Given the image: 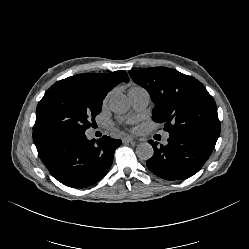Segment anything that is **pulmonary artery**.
Segmentation results:
<instances>
[{"label":"pulmonary artery","mask_w":249,"mask_h":249,"mask_svg":"<svg viewBox=\"0 0 249 249\" xmlns=\"http://www.w3.org/2000/svg\"><path fill=\"white\" fill-rule=\"evenodd\" d=\"M129 97L132 103V106L137 111L144 110L150 101V95L149 93L143 88L140 90L129 92ZM169 138V133H164L163 135V142L164 144L167 143V140Z\"/></svg>","instance_id":"pulmonary-artery-1"}]
</instances>
